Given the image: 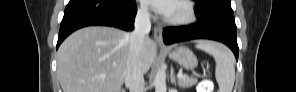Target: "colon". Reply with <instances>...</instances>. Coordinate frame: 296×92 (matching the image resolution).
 Returning a JSON list of instances; mask_svg holds the SVG:
<instances>
[{"instance_id": "5ec220e1", "label": "colon", "mask_w": 296, "mask_h": 92, "mask_svg": "<svg viewBox=\"0 0 296 92\" xmlns=\"http://www.w3.org/2000/svg\"><path fill=\"white\" fill-rule=\"evenodd\" d=\"M209 87V83L207 82V81H203L202 83H201V91L202 92H205V91H207L206 89Z\"/></svg>"}]
</instances>
